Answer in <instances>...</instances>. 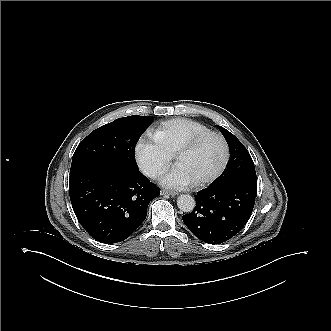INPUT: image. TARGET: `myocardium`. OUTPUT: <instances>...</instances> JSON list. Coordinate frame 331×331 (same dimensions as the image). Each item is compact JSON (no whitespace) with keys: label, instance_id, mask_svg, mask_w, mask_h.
<instances>
[{"label":"myocardium","instance_id":"1","mask_svg":"<svg viewBox=\"0 0 331 331\" xmlns=\"http://www.w3.org/2000/svg\"><path fill=\"white\" fill-rule=\"evenodd\" d=\"M209 137H215L220 141L221 146H222V160H221V163L218 166V168L210 176H208L206 178L194 180L193 184L196 186H203V185H206V184H209V183L215 181L223 173L224 169L226 168L227 163H228V158H229V151H228V146H227V143H226L224 137L216 131L204 132L198 136H195L194 138L190 139L189 141H187L178 150V152L176 154L175 165L179 166L181 159L183 158V156L186 153H188L189 151L194 149L199 143H201L202 141H204L205 139H207Z\"/></svg>","mask_w":331,"mask_h":331}]
</instances>
